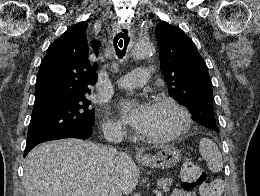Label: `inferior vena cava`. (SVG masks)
I'll use <instances>...</instances> for the list:
<instances>
[{
    "instance_id": "602c4592",
    "label": "inferior vena cava",
    "mask_w": 260,
    "mask_h": 196,
    "mask_svg": "<svg viewBox=\"0 0 260 196\" xmlns=\"http://www.w3.org/2000/svg\"><path fill=\"white\" fill-rule=\"evenodd\" d=\"M104 138L107 140V142H122V130H109V132H104ZM117 154L118 152L115 150V148L106 146V160H108V162L114 164V162H116V158H118ZM106 196H122V192L119 190V186H117L116 178H114V176L109 178Z\"/></svg>"
}]
</instances>
